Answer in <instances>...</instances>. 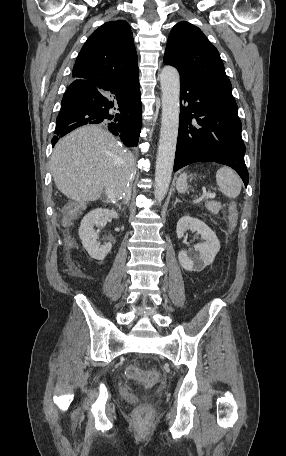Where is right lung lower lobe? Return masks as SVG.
<instances>
[{"mask_svg":"<svg viewBox=\"0 0 286 456\" xmlns=\"http://www.w3.org/2000/svg\"><path fill=\"white\" fill-rule=\"evenodd\" d=\"M138 78L108 87L75 79L63 96L52 145L79 126L100 123L126 146H137L142 127Z\"/></svg>","mask_w":286,"mask_h":456,"instance_id":"obj_1","label":"right lung lower lobe"}]
</instances>
